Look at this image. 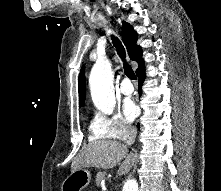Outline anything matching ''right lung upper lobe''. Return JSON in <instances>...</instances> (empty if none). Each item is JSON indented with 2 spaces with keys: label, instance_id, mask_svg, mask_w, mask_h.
I'll use <instances>...</instances> for the list:
<instances>
[{
  "label": "right lung upper lobe",
  "instance_id": "obj_1",
  "mask_svg": "<svg viewBox=\"0 0 221 191\" xmlns=\"http://www.w3.org/2000/svg\"><path fill=\"white\" fill-rule=\"evenodd\" d=\"M122 26V39L124 42V45L126 46L128 55L131 60L136 61L138 63V70H140L142 67H144V62L142 59V49L140 46L136 44L137 42V33L134 31L132 26L123 21ZM79 105L84 106L85 102V71L84 67H82L81 72L79 74Z\"/></svg>",
  "mask_w": 221,
  "mask_h": 191
}]
</instances>
